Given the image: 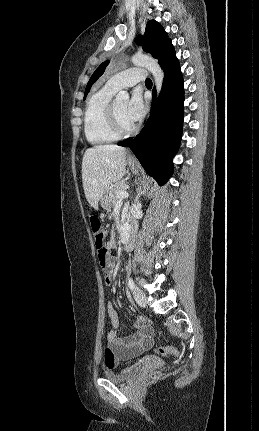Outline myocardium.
<instances>
[{"mask_svg":"<svg viewBox=\"0 0 259 431\" xmlns=\"http://www.w3.org/2000/svg\"><path fill=\"white\" fill-rule=\"evenodd\" d=\"M108 124L112 132L118 137L128 136L136 131V126L132 125L129 128H125L121 125L118 116L115 111L114 102L111 101L107 111Z\"/></svg>","mask_w":259,"mask_h":431,"instance_id":"myocardium-1","label":"myocardium"}]
</instances>
